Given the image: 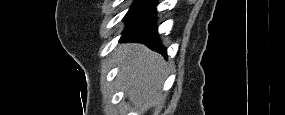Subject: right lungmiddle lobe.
<instances>
[{"label":"right lung middle lobe","mask_w":285,"mask_h":115,"mask_svg":"<svg viewBox=\"0 0 285 115\" xmlns=\"http://www.w3.org/2000/svg\"><path fill=\"white\" fill-rule=\"evenodd\" d=\"M155 3L156 0H136L134 4L131 6L130 10L127 12L126 16L124 17V20L129 21L135 16L153 7Z\"/></svg>","instance_id":"dd1d6c3e"}]
</instances>
